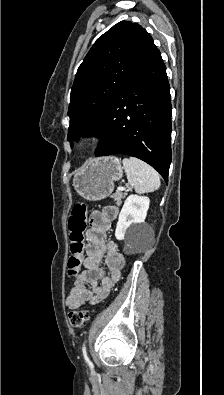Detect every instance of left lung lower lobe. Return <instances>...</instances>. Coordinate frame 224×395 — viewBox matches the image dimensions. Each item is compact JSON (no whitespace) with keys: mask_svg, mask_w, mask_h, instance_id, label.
Masks as SVG:
<instances>
[{"mask_svg":"<svg viewBox=\"0 0 224 395\" xmlns=\"http://www.w3.org/2000/svg\"><path fill=\"white\" fill-rule=\"evenodd\" d=\"M97 135L96 157L126 154L154 167L168 181L171 101L166 67L157 47L109 106Z\"/></svg>","mask_w":224,"mask_h":395,"instance_id":"obj_1","label":"left lung lower lobe"}]
</instances>
